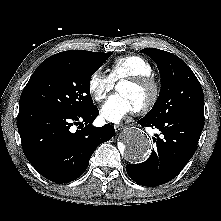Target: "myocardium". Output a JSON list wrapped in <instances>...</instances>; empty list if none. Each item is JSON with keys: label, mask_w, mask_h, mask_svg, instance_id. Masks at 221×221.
I'll return each instance as SVG.
<instances>
[{"label": "myocardium", "mask_w": 221, "mask_h": 221, "mask_svg": "<svg viewBox=\"0 0 221 221\" xmlns=\"http://www.w3.org/2000/svg\"><path fill=\"white\" fill-rule=\"evenodd\" d=\"M121 83H128L134 86L149 87L151 90L150 98L141 106L136 108L138 113L150 111L157 103L160 96V86L152 75H139L127 77L121 80Z\"/></svg>", "instance_id": "obj_1"}]
</instances>
